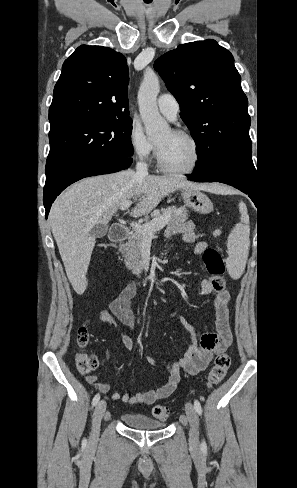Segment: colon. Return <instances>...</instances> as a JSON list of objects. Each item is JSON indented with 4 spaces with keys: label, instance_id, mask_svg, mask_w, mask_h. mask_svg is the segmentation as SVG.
Wrapping results in <instances>:
<instances>
[{
    "label": "colon",
    "instance_id": "1",
    "mask_svg": "<svg viewBox=\"0 0 297 488\" xmlns=\"http://www.w3.org/2000/svg\"><path fill=\"white\" fill-rule=\"evenodd\" d=\"M100 247L103 249H108L111 248V244L102 243L100 244ZM203 258L206 269L211 276L210 280L213 288L217 292L224 291L226 287V283L223 278L225 269L220 254L214 249H208L204 252ZM76 340L78 346L75 359L76 367L82 374H89L97 367V360L92 354L85 350L88 343V331L86 323L79 327ZM230 363L231 359L227 353H220L217 355L208 375L207 384L209 387H213L222 381L230 367ZM152 415L154 418L160 420L166 419L168 416V409L163 405H155L152 408Z\"/></svg>",
    "mask_w": 297,
    "mask_h": 488
}]
</instances>
